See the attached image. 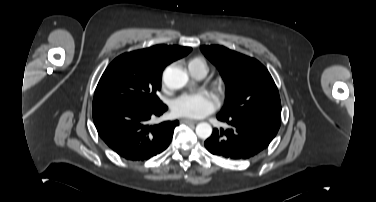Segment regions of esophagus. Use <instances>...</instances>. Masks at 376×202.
<instances>
[{
  "label": "esophagus",
  "mask_w": 376,
  "mask_h": 202,
  "mask_svg": "<svg viewBox=\"0 0 376 202\" xmlns=\"http://www.w3.org/2000/svg\"><path fill=\"white\" fill-rule=\"evenodd\" d=\"M181 121L184 122V123H187V124H195V123H197L196 120H191V119H182Z\"/></svg>",
  "instance_id": "esophagus-1"
}]
</instances>
